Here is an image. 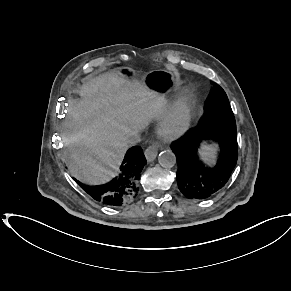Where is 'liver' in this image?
I'll list each match as a JSON object with an SVG mask.
<instances>
[{
  "mask_svg": "<svg viewBox=\"0 0 291 291\" xmlns=\"http://www.w3.org/2000/svg\"><path fill=\"white\" fill-rule=\"evenodd\" d=\"M78 93L64 123V154L78 180L97 185L117 174L127 135L145 129L166 103L140 77L128 78L119 69L88 77Z\"/></svg>",
  "mask_w": 291,
  "mask_h": 291,
  "instance_id": "6515ba94",
  "label": "liver"
}]
</instances>
